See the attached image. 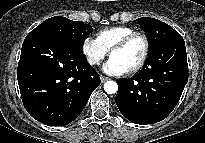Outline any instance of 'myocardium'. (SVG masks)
I'll return each mask as SVG.
<instances>
[{"label":"myocardium","instance_id":"f54148a6","mask_svg":"<svg viewBox=\"0 0 205 143\" xmlns=\"http://www.w3.org/2000/svg\"><path fill=\"white\" fill-rule=\"evenodd\" d=\"M136 38L142 39L144 43V51L141 59L138 61L136 65H134L132 68L128 69V73H135L142 69L144 65L146 64L149 54H150V41L147 35L143 32H133L130 35L124 37L122 40H120L118 43H116L111 49H110V56L119 50H122L126 48L133 40Z\"/></svg>","mask_w":205,"mask_h":143}]
</instances>
